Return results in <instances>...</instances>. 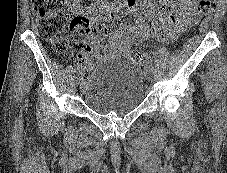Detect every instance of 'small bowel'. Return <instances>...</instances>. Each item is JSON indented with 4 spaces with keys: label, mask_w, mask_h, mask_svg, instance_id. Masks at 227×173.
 <instances>
[{
    "label": "small bowel",
    "mask_w": 227,
    "mask_h": 173,
    "mask_svg": "<svg viewBox=\"0 0 227 173\" xmlns=\"http://www.w3.org/2000/svg\"><path fill=\"white\" fill-rule=\"evenodd\" d=\"M140 6L146 7L147 10L136 15L133 24L126 23L115 32H96L105 38V44L100 43L98 36L88 39L102 59L131 57V43L143 41L150 35L170 41L176 40L182 32L199 21L195 0H132L123 13L133 15ZM79 61L85 68H91L94 64L92 53H81Z\"/></svg>",
    "instance_id": "obj_1"
}]
</instances>
